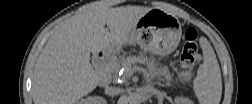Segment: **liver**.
<instances>
[{
  "label": "liver",
  "mask_w": 252,
  "mask_h": 104,
  "mask_svg": "<svg viewBox=\"0 0 252 104\" xmlns=\"http://www.w3.org/2000/svg\"><path fill=\"white\" fill-rule=\"evenodd\" d=\"M151 9L142 6L108 8L94 2L63 22L35 63L34 103L72 104L91 93L101 80L90 64L91 53L128 44L129 34Z\"/></svg>",
  "instance_id": "obj_1"
}]
</instances>
